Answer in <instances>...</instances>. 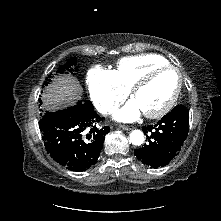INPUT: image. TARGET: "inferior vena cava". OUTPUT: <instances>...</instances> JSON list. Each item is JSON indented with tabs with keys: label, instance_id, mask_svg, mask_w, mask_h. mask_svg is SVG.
Instances as JSON below:
<instances>
[{
	"label": "inferior vena cava",
	"instance_id": "obj_1",
	"mask_svg": "<svg viewBox=\"0 0 221 221\" xmlns=\"http://www.w3.org/2000/svg\"><path fill=\"white\" fill-rule=\"evenodd\" d=\"M109 109H110V108L107 107V106H102V107L100 108V112L105 114V113H107V111H109Z\"/></svg>",
	"mask_w": 221,
	"mask_h": 221
}]
</instances>
